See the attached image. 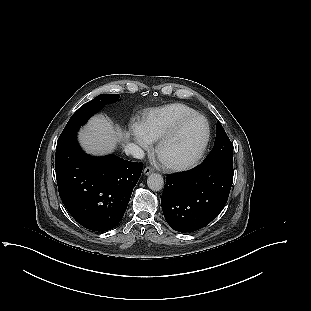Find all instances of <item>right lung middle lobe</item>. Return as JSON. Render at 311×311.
I'll list each match as a JSON object with an SVG mask.
<instances>
[{
    "instance_id": "dd1d6c3e",
    "label": "right lung middle lobe",
    "mask_w": 311,
    "mask_h": 311,
    "mask_svg": "<svg viewBox=\"0 0 311 311\" xmlns=\"http://www.w3.org/2000/svg\"><path fill=\"white\" fill-rule=\"evenodd\" d=\"M119 98V94H102L80 107L68 121L58 139L57 145L75 136L80 126L84 125L91 116L97 113L103 106L117 102Z\"/></svg>"
}]
</instances>
